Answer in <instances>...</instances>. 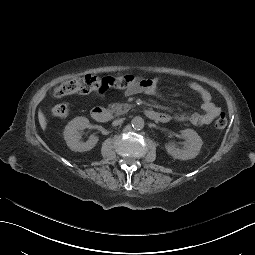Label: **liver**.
I'll return each instance as SVG.
<instances>
[{
  "label": "liver",
  "instance_id": "obj_1",
  "mask_svg": "<svg viewBox=\"0 0 255 255\" xmlns=\"http://www.w3.org/2000/svg\"><path fill=\"white\" fill-rule=\"evenodd\" d=\"M38 119L42 131L46 132L48 127V119L46 118V115L44 114L41 108L38 111Z\"/></svg>",
  "mask_w": 255,
  "mask_h": 255
}]
</instances>
